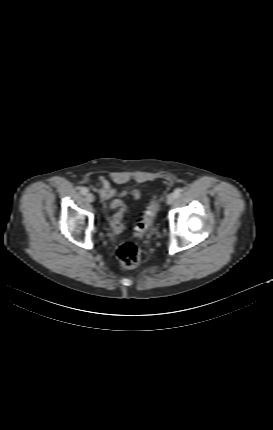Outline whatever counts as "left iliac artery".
<instances>
[{"label":"left iliac artery","mask_w":273,"mask_h":430,"mask_svg":"<svg viewBox=\"0 0 273 430\" xmlns=\"http://www.w3.org/2000/svg\"><path fill=\"white\" fill-rule=\"evenodd\" d=\"M182 191H183L182 188H176L174 191L175 197H179L181 195Z\"/></svg>","instance_id":"left-iliac-artery-1"}]
</instances>
